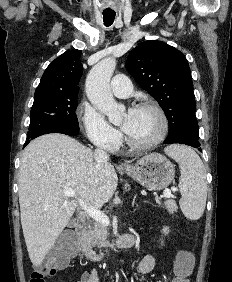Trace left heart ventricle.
<instances>
[{
  "label": "left heart ventricle",
  "instance_id": "b2bd125f",
  "mask_svg": "<svg viewBox=\"0 0 232 282\" xmlns=\"http://www.w3.org/2000/svg\"><path fill=\"white\" fill-rule=\"evenodd\" d=\"M160 127V119L154 111L137 108L136 116L127 135L135 142H148L157 136Z\"/></svg>",
  "mask_w": 232,
  "mask_h": 282
}]
</instances>
